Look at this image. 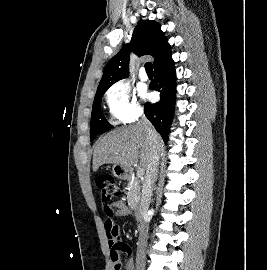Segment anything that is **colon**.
<instances>
[{"label":"colon","instance_id":"1","mask_svg":"<svg viewBox=\"0 0 267 270\" xmlns=\"http://www.w3.org/2000/svg\"><path fill=\"white\" fill-rule=\"evenodd\" d=\"M97 188L103 202H109L121 194V189L114 178L110 175H100L96 179ZM114 270L121 269V261L117 258L112 260Z\"/></svg>","mask_w":267,"mask_h":270}]
</instances>
